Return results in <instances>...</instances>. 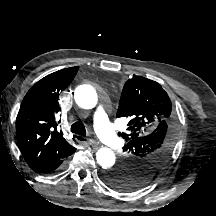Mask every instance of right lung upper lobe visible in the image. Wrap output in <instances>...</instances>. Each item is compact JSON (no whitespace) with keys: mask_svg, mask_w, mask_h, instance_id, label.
<instances>
[{"mask_svg":"<svg viewBox=\"0 0 216 216\" xmlns=\"http://www.w3.org/2000/svg\"><path fill=\"white\" fill-rule=\"evenodd\" d=\"M78 69L70 67L47 75L31 87L22 101L16 119L17 142L35 172L65 160L76 150L57 130L55 115L61 110L58 96L72 82Z\"/></svg>","mask_w":216,"mask_h":216,"instance_id":"right-lung-upper-lobe-1","label":"right lung upper lobe"}]
</instances>
